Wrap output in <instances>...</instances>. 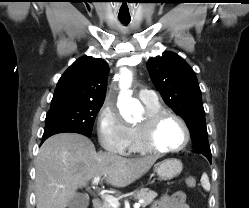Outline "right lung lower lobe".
I'll use <instances>...</instances> for the list:
<instances>
[{
	"label": "right lung lower lobe",
	"mask_w": 249,
	"mask_h": 208,
	"mask_svg": "<svg viewBox=\"0 0 249 208\" xmlns=\"http://www.w3.org/2000/svg\"><path fill=\"white\" fill-rule=\"evenodd\" d=\"M62 132H70V131H65V130H58V129H54V130H46L44 131L43 137H42V142L41 144L50 136L57 134V133H62Z\"/></svg>",
	"instance_id": "right-lung-lower-lobe-1"
}]
</instances>
